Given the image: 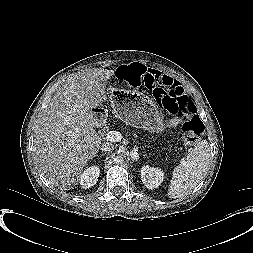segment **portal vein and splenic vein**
Here are the masks:
<instances>
[{
	"label": "portal vein and splenic vein",
	"mask_w": 253,
	"mask_h": 253,
	"mask_svg": "<svg viewBox=\"0 0 253 253\" xmlns=\"http://www.w3.org/2000/svg\"><path fill=\"white\" fill-rule=\"evenodd\" d=\"M106 138L111 142H118V141H121L122 136H121L120 132H118V131H109L107 133Z\"/></svg>",
	"instance_id": "18ae733b"
}]
</instances>
